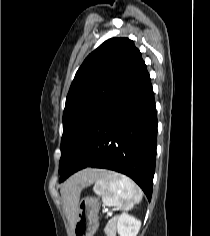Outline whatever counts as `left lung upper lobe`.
<instances>
[{"mask_svg": "<svg viewBox=\"0 0 210 236\" xmlns=\"http://www.w3.org/2000/svg\"><path fill=\"white\" fill-rule=\"evenodd\" d=\"M145 69L140 51L127 38L105 41L84 60L66 98L59 173L93 121Z\"/></svg>", "mask_w": 210, "mask_h": 236, "instance_id": "5c2ea615", "label": "left lung upper lobe"}]
</instances>
